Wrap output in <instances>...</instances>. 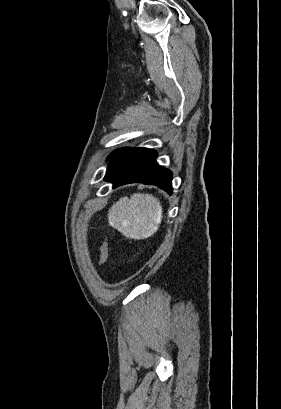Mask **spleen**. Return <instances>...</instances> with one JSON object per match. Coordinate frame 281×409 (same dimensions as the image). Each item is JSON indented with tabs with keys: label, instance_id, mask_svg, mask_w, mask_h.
Here are the masks:
<instances>
[{
	"label": "spleen",
	"instance_id": "spleen-1",
	"mask_svg": "<svg viewBox=\"0 0 281 409\" xmlns=\"http://www.w3.org/2000/svg\"><path fill=\"white\" fill-rule=\"evenodd\" d=\"M163 217L161 202L153 194L133 192L121 196L108 211V223L127 239H149L157 233Z\"/></svg>",
	"mask_w": 281,
	"mask_h": 409
}]
</instances>
